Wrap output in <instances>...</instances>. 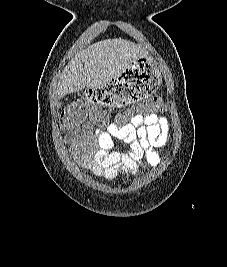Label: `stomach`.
<instances>
[{"label": "stomach", "mask_w": 227, "mask_h": 267, "mask_svg": "<svg viewBox=\"0 0 227 267\" xmlns=\"http://www.w3.org/2000/svg\"><path fill=\"white\" fill-rule=\"evenodd\" d=\"M161 83V74L153 59L140 57L128 64L111 82H104V87H91L86 91L84 104H98L103 107H126L146 101V96L157 92Z\"/></svg>", "instance_id": "obj_1"}]
</instances>
